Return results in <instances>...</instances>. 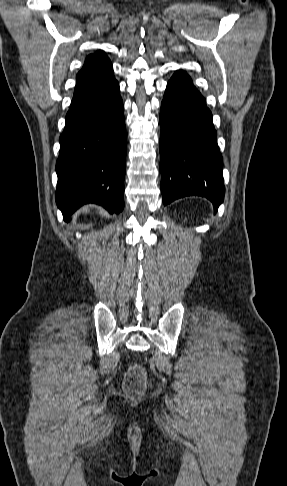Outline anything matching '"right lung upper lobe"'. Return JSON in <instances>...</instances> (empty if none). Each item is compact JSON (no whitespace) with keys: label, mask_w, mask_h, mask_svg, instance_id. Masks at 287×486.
Masks as SVG:
<instances>
[{"label":"right lung upper lobe","mask_w":287,"mask_h":486,"mask_svg":"<svg viewBox=\"0 0 287 486\" xmlns=\"http://www.w3.org/2000/svg\"><path fill=\"white\" fill-rule=\"evenodd\" d=\"M113 78V66L109 58L103 51L98 50L86 57L82 69L76 76L75 91L96 86Z\"/></svg>","instance_id":"obj_1"}]
</instances>
